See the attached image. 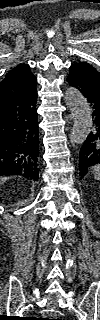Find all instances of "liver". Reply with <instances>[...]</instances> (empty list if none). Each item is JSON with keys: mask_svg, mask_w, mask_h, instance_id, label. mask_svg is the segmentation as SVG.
I'll list each match as a JSON object with an SVG mask.
<instances>
[{"mask_svg": "<svg viewBox=\"0 0 100 320\" xmlns=\"http://www.w3.org/2000/svg\"><path fill=\"white\" fill-rule=\"evenodd\" d=\"M7 180V178H1V182H5Z\"/></svg>", "mask_w": 100, "mask_h": 320, "instance_id": "obj_1", "label": "liver"}]
</instances>
